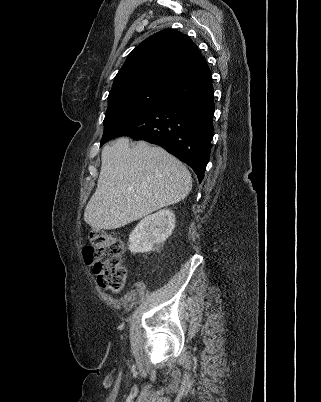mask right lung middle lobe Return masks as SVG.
Listing matches in <instances>:
<instances>
[{
  "label": "right lung middle lobe",
  "instance_id": "1",
  "mask_svg": "<svg viewBox=\"0 0 321 402\" xmlns=\"http://www.w3.org/2000/svg\"><path fill=\"white\" fill-rule=\"evenodd\" d=\"M170 87L149 83L110 94L101 146L162 102Z\"/></svg>",
  "mask_w": 321,
  "mask_h": 402
}]
</instances>
